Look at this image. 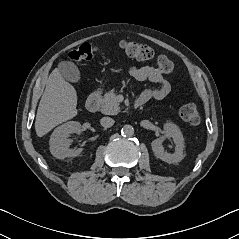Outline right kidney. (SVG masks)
Masks as SVG:
<instances>
[{
  "mask_svg": "<svg viewBox=\"0 0 239 239\" xmlns=\"http://www.w3.org/2000/svg\"><path fill=\"white\" fill-rule=\"evenodd\" d=\"M80 132L81 124L77 121H69L57 127L49 140L51 154L58 159L78 156L83 149H69L70 140L68 136L71 133L79 134Z\"/></svg>",
  "mask_w": 239,
  "mask_h": 239,
  "instance_id": "ca27d5eb",
  "label": "right kidney"
}]
</instances>
